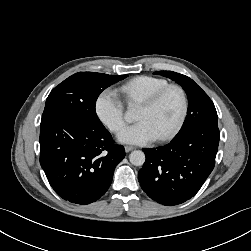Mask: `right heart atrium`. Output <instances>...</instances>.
I'll return each instance as SVG.
<instances>
[{"label": "right heart atrium", "instance_id": "1", "mask_svg": "<svg viewBox=\"0 0 251 251\" xmlns=\"http://www.w3.org/2000/svg\"><path fill=\"white\" fill-rule=\"evenodd\" d=\"M98 119L112 132H118L125 124L123 101L113 89L101 91L94 104Z\"/></svg>", "mask_w": 251, "mask_h": 251}]
</instances>
